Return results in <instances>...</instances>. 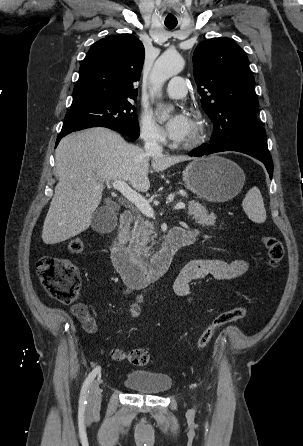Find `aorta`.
Returning <instances> with one entry per match:
<instances>
[{
	"label": "aorta",
	"mask_w": 303,
	"mask_h": 446,
	"mask_svg": "<svg viewBox=\"0 0 303 446\" xmlns=\"http://www.w3.org/2000/svg\"><path fill=\"white\" fill-rule=\"evenodd\" d=\"M184 68L183 58L175 51L164 52L155 62L151 75V93L159 95L163 84L170 77L179 74Z\"/></svg>",
	"instance_id": "aorta-1"
}]
</instances>
